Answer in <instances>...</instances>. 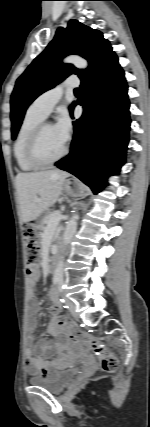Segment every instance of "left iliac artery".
I'll use <instances>...</instances> for the list:
<instances>
[{
  "mask_svg": "<svg viewBox=\"0 0 150 427\" xmlns=\"http://www.w3.org/2000/svg\"><path fill=\"white\" fill-rule=\"evenodd\" d=\"M58 289H59V291L61 292V291H62V289H63V287L60 285ZM64 307H65V308H68V306H67V305H66V306H64Z\"/></svg>",
  "mask_w": 150,
  "mask_h": 427,
  "instance_id": "1",
  "label": "left iliac artery"
}]
</instances>
